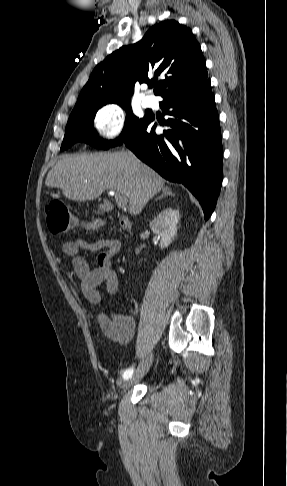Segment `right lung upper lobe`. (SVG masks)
<instances>
[{
	"instance_id": "cb5924a9",
	"label": "right lung upper lobe",
	"mask_w": 287,
	"mask_h": 486,
	"mask_svg": "<svg viewBox=\"0 0 287 486\" xmlns=\"http://www.w3.org/2000/svg\"><path fill=\"white\" fill-rule=\"evenodd\" d=\"M153 73L154 79L148 75ZM155 94L196 85L207 79L206 62L190 28L175 20L152 26L137 43L121 47L99 63L83 87L72 111L93 105L130 99L134 83L150 84L157 76Z\"/></svg>"
}]
</instances>
